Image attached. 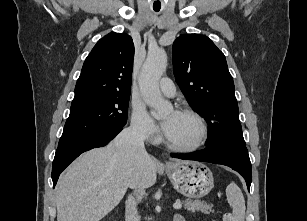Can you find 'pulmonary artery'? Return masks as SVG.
<instances>
[{
	"instance_id": "e3ab8cb5",
	"label": "pulmonary artery",
	"mask_w": 307,
	"mask_h": 221,
	"mask_svg": "<svg viewBox=\"0 0 307 221\" xmlns=\"http://www.w3.org/2000/svg\"><path fill=\"white\" fill-rule=\"evenodd\" d=\"M159 88L161 92L168 97H172L176 94V87L172 80L168 77H164L161 79L159 83Z\"/></svg>"
}]
</instances>
